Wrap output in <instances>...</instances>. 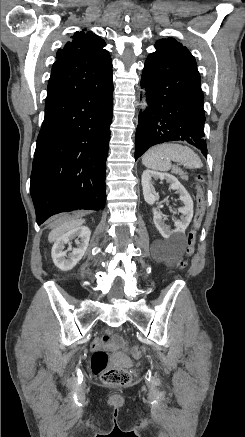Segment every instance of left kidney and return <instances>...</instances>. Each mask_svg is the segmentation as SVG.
<instances>
[{"label": "left kidney", "mask_w": 245, "mask_h": 437, "mask_svg": "<svg viewBox=\"0 0 245 437\" xmlns=\"http://www.w3.org/2000/svg\"><path fill=\"white\" fill-rule=\"evenodd\" d=\"M160 179L166 180L167 183H170V188L172 190H176V193L179 194V200L184 204L183 207L178 208V213H181L180 220H174L175 229H171L166 226L164 220L160 213L156 208H153V221L154 224L159 231V233L166 239H179L186 228L190 224L193 217V200L185 187L178 181V179L168 173H160L153 170H145L142 174V189L143 196L145 201L149 205H153L158 200V195L152 192L151 190V180ZM177 211L175 213H177Z\"/></svg>", "instance_id": "5707ae66"}]
</instances>
